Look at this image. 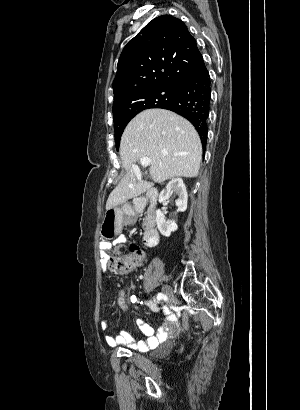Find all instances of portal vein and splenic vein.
<instances>
[{"label":"portal vein and splenic vein","instance_id":"portal-vein-and-splenic-vein-1","mask_svg":"<svg viewBox=\"0 0 300 410\" xmlns=\"http://www.w3.org/2000/svg\"><path fill=\"white\" fill-rule=\"evenodd\" d=\"M150 162H151V159L148 158V157H143V158L140 159L141 165H143L145 167L148 166L150 164ZM133 168H134L135 173L140 172L139 167L136 164L133 165Z\"/></svg>","mask_w":300,"mask_h":410}]
</instances>
